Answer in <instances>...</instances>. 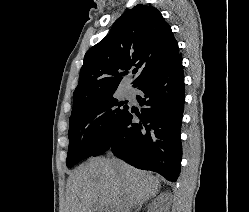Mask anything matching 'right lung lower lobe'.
I'll return each instance as SVG.
<instances>
[{
  "instance_id": "98d812e1",
  "label": "right lung lower lobe",
  "mask_w": 249,
  "mask_h": 212,
  "mask_svg": "<svg viewBox=\"0 0 249 212\" xmlns=\"http://www.w3.org/2000/svg\"><path fill=\"white\" fill-rule=\"evenodd\" d=\"M141 114L128 107L113 126L97 154L110 150L130 165L161 174L176 182L182 158L181 121L184 108V74L179 54L137 87ZM134 113L140 119L133 123Z\"/></svg>"
}]
</instances>
